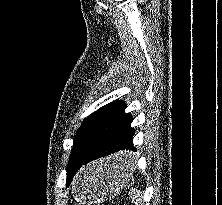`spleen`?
<instances>
[{
	"instance_id": "3e777b00",
	"label": "spleen",
	"mask_w": 222,
	"mask_h": 205,
	"mask_svg": "<svg viewBox=\"0 0 222 205\" xmlns=\"http://www.w3.org/2000/svg\"><path fill=\"white\" fill-rule=\"evenodd\" d=\"M132 200L133 202H139L141 200V192L132 190Z\"/></svg>"
}]
</instances>
